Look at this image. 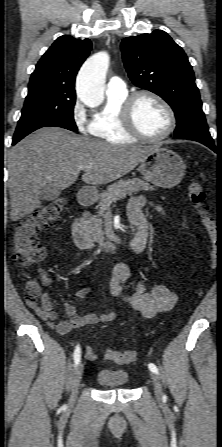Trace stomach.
Here are the masks:
<instances>
[{"label": "stomach", "instance_id": "0dacf381", "mask_svg": "<svg viewBox=\"0 0 222 447\" xmlns=\"http://www.w3.org/2000/svg\"><path fill=\"white\" fill-rule=\"evenodd\" d=\"M138 169L147 181L158 187L171 188L181 182L186 167L182 158L174 151L154 147Z\"/></svg>", "mask_w": 222, "mask_h": 447}]
</instances>
